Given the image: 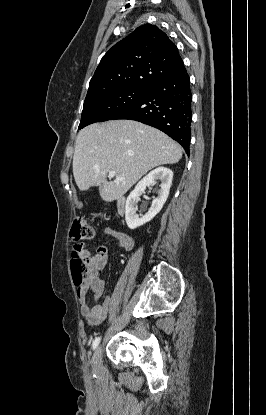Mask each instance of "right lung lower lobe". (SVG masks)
<instances>
[{"label":"right lung lower lobe","instance_id":"1","mask_svg":"<svg viewBox=\"0 0 266 415\" xmlns=\"http://www.w3.org/2000/svg\"><path fill=\"white\" fill-rule=\"evenodd\" d=\"M191 104L190 78L183 69L179 74L155 83L142 100L110 120L130 119L153 126L176 140L189 155Z\"/></svg>","mask_w":266,"mask_h":415}]
</instances>
